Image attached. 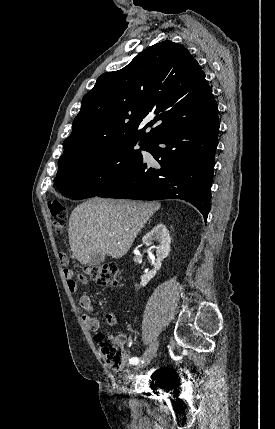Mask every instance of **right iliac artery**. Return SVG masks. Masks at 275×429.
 Here are the masks:
<instances>
[{
  "instance_id": "right-iliac-artery-1",
  "label": "right iliac artery",
  "mask_w": 275,
  "mask_h": 429,
  "mask_svg": "<svg viewBox=\"0 0 275 429\" xmlns=\"http://www.w3.org/2000/svg\"><path fill=\"white\" fill-rule=\"evenodd\" d=\"M140 359L138 357H132L130 359V363L133 365H137L139 363Z\"/></svg>"
}]
</instances>
